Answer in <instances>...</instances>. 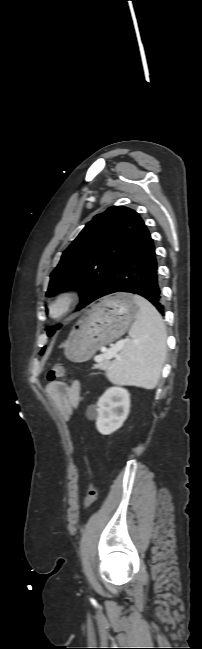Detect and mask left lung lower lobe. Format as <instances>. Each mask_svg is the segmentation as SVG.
<instances>
[{
	"label": "left lung lower lobe",
	"mask_w": 202,
	"mask_h": 649,
	"mask_svg": "<svg viewBox=\"0 0 202 649\" xmlns=\"http://www.w3.org/2000/svg\"><path fill=\"white\" fill-rule=\"evenodd\" d=\"M116 292L141 295L148 299L164 316V306L158 284L155 248L145 224L127 244L96 299ZM44 350L45 347L42 352Z\"/></svg>",
	"instance_id": "0a47b994"
}]
</instances>
